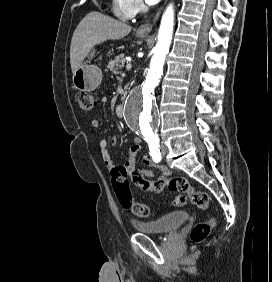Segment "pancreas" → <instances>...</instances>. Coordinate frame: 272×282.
<instances>
[{
    "label": "pancreas",
    "mask_w": 272,
    "mask_h": 282,
    "mask_svg": "<svg viewBox=\"0 0 272 282\" xmlns=\"http://www.w3.org/2000/svg\"><path fill=\"white\" fill-rule=\"evenodd\" d=\"M124 54L116 56L113 60L108 62L107 68L112 71L114 74H118V70L122 69L125 65Z\"/></svg>",
    "instance_id": "1"
}]
</instances>
